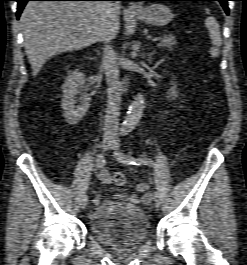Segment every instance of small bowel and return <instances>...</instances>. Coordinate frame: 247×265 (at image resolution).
<instances>
[{
  "label": "small bowel",
  "instance_id": "1",
  "mask_svg": "<svg viewBox=\"0 0 247 265\" xmlns=\"http://www.w3.org/2000/svg\"><path fill=\"white\" fill-rule=\"evenodd\" d=\"M98 179L104 185H108L112 181L111 174L106 169H101L97 174ZM136 194H124V193H114L113 197L118 200L126 201L132 204H144L147 205L152 201V195L149 191V184L147 183H139L136 185Z\"/></svg>",
  "mask_w": 247,
  "mask_h": 265
}]
</instances>
